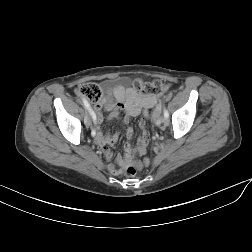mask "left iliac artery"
Returning a JSON list of instances; mask_svg holds the SVG:
<instances>
[{"label": "left iliac artery", "mask_w": 252, "mask_h": 252, "mask_svg": "<svg viewBox=\"0 0 252 252\" xmlns=\"http://www.w3.org/2000/svg\"><path fill=\"white\" fill-rule=\"evenodd\" d=\"M169 117V113L166 109H164V118L167 119Z\"/></svg>", "instance_id": "1"}]
</instances>
